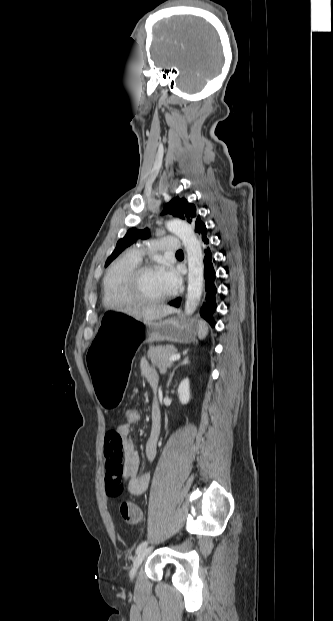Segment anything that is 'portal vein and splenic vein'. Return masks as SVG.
Instances as JSON below:
<instances>
[{"label": "portal vein and splenic vein", "mask_w": 333, "mask_h": 621, "mask_svg": "<svg viewBox=\"0 0 333 621\" xmlns=\"http://www.w3.org/2000/svg\"><path fill=\"white\" fill-rule=\"evenodd\" d=\"M178 359H180V355H179V354H174V355H172V356H170V357L168 358V361H169V362H174V361H176V360H178Z\"/></svg>", "instance_id": "portal-vein-and-splenic-vein-1"}]
</instances>
